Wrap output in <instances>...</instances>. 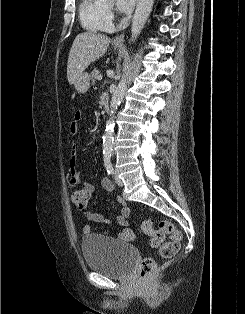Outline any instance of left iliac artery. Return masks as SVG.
<instances>
[{"label":"left iliac artery","instance_id":"left-iliac-artery-1","mask_svg":"<svg viewBox=\"0 0 245 314\" xmlns=\"http://www.w3.org/2000/svg\"><path fill=\"white\" fill-rule=\"evenodd\" d=\"M104 165L108 174H113V165L111 163V154L104 155Z\"/></svg>","mask_w":245,"mask_h":314}]
</instances>
